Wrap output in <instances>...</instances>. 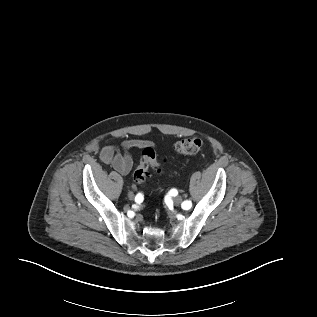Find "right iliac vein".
I'll list each match as a JSON object with an SVG mask.
<instances>
[{
	"mask_svg": "<svg viewBox=\"0 0 317 317\" xmlns=\"http://www.w3.org/2000/svg\"><path fill=\"white\" fill-rule=\"evenodd\" d=\"M128 197H129L130 199H133L134 194L130 192V193L128 194Z\"/></svg>",
	"mask_w": 317,
	"mask_h": 317,
	"instance_id": "63e3f726",
	"label": "right iliac vein"
}]
</instances>
